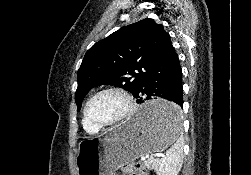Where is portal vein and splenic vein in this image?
<instances>
[{"instance_id": "portal-vein-and-splenic-vein-1", "label": "portal vein and splenic vein", "mask_w": 251, "mask_h": 175, "mask_svg": "<svg viewBox=\"0 0 251 175\" xmlns=\"http://www.w3.org/2000/svg\"><path fill=\"white\" fill-rule=\"evenodd\" d=\"M164 158L165 157V154L163 151H158L157 153L156 152H153L151 154L149 153H144L143 155L140 156V159L141 160H146L147 158Z\"/></svg>"}]
</instances>
